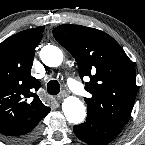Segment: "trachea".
I'll return each instance as SVG.
<instances>
[{
  "mask_svg": "<svg viewBox=\"0 0 145 145\" xmlns=\"http://www.w3.org/2000/svg\"><path fill=\"white\" fill-rule=\"evenodd\" d=\"M47 91L50 95H57L60 92V84L56 80H50L47 84Z\"/></svg>",
  "mask_w": 145,
  "mask_h": 145,
  "instance_id": "3493384b",
  "label": "trachea"
}]
</instances>
